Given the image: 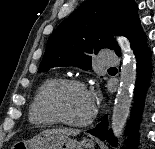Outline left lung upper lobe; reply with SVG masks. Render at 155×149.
<instances>
[{
	"instance_id": "obj_1",
	"label": "left lung upper lobe",
	"mask_w": 155,
	"mask_h": 149,
	"mask_svg": "<svg viewBox=\"0 0 155 149\" xmlns=\"http://www.w3.org/2000/svg\"><path fill=\"white\" fill-rule=\"evenodd\" d=\"M133 0H87L51 34L38 72L53 67L91 69V55L120 49L112 35L129 40L141 28Z\"/></svg>"
}]
</instances>
